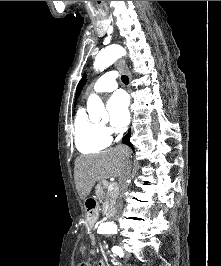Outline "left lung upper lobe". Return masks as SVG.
Wrapping results in <instances>:
<instances>
[{
    "instance_id": "obj_1",
    "label": "left lung upper lobe",
    "mask_w": 221,
    "mask_h": 266,
    "mask_svg": "<svg viewBox=\"0 0 221 266\" xmlns=\"http://www.w3.org/2000/svg\"><path fill=\"white\" fill-rule=\"evenodd\" d=\"M86 83V75H84L82 77V79L80 80L78 86H77V89H76V99L78 97V95L80 94V91L82 90V87L85 85Z\"/></svg>"
}]
</instances>
